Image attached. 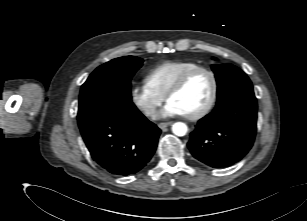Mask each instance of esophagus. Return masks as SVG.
<instances>
[{"label": "esophagus", "mask_w": 307, "mask_h": 221, "mask_svg": "<svg viewBox=\"0 0 307 221\" xmlns=\"http://www.w3.org/2000/svg\"><path fill=\"white\" fill-rule=\"evenodd\" d=\"M172 125V122H162V123H159L158 126L160 129H164L168 126Z\"/></svg>", "instance_id": "obj_1"}]
</instances>
